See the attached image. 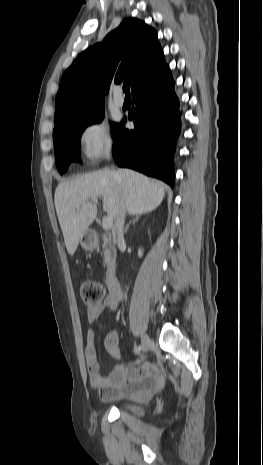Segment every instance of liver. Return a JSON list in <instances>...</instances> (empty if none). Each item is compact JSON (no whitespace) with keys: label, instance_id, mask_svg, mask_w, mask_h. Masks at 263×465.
I'll return each mask as SVG.
<instances>
[{"label":"liver","instance_id":"1","mask_svg":"<svg viewBox=\"0 0 263 465\" xmlns=\"http://www.w3.org/2000/svg\"><path fill=\"white\" fill-rule=\"evenodd\" d=\"M166 188L163 182L130 169L99 170L60 183L54 201L68 253H75L96 218L97 206L88 201L90 198H101L104 211L114 218L122 204L130 215H140L161 204Z\"/></svg>","mask_w":263,"mask_h":465}]
</instances>
